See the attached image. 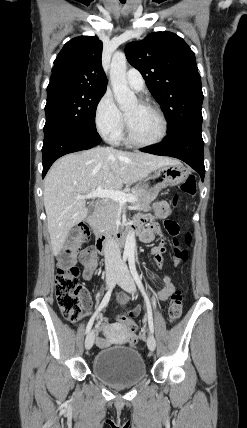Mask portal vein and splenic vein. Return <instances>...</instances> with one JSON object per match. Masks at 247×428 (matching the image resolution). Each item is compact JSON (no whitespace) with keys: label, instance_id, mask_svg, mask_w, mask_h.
I'll return each instance as SVG.
<instances>
[{"label":"portal vein and splenic vein","instance_id":"18ae733b","mask_svg":"<svg viewBox=\"0 0 247 428\" xmlns=\"http://www.w3.org/2000/svg\"><path fill=\"white\" fill-rule=\"evenodd\" d=\"M109 198L115 201H118L119 203H126V202H135L137 200L136 196L127 194L123 191L119 190H107L103 189L102 186L97 187L94 191L86 194V195H77V199H90V198Z\"/></svg>","mask_w":247,"mask_h":428}]
</instances>
